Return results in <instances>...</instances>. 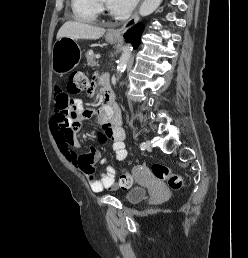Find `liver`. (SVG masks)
<instances>
[{
    "instance_id": "liver-1",
    "label": "liver",
    "mask_w": 248,
    "mask_h": 258,
    "mask_svg": "<svg viewBox=\"0 0 248 258\" xmlns=\"http://www.w3.org/2000/svg\"><path fill=\"white\" fill-rule=\"evenodd\" d=\"M104 33V28L94 27L76 21H67L59 29L57 40L62 37H69L72 39H99Z\"/></svg>"
}]
</instances>
